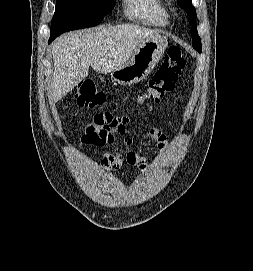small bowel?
<instances>
[{
    "label": "small bowel",
    "mask_w": 253,
    "mask_h": 271,
    "mask_svg": "<svg viewBox=\"0 0 253 271\" xmlns=\"http://www.w3.org/2000/svg\"><path fill=\"white\" fill-rule=\"evenodd\" d=\"M129 124L130 119L126 116H116L111 113L96 114L87 124L85 133L81 137V143L104 146L112 143L115 135H121L124 143L130 145L133 142V137ZM145 135L148 140L156 143L163 152L172 148L169 137L158 128L147 129ZM125 163L143 169L146 158L134 150H128L125 153L106 152L99 161L95 162V165L103 170H110L121 167Z\"/></svg>",
    "instance_id": "obj_1"
}]
</instances>
